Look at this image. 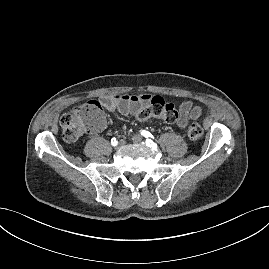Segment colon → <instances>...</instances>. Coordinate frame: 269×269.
I'll list each match as a JSON object with an SVG mask.
<instances>
[{
	"mask_svg": "<svg viewBox=\"0 0 269 269\" xmlns=\"http://www.w3.org/2000/svg\"><path fill=\"white\" fill-rule=\"evenodd\" d=\"M177 116L178 112L174 105L160 96L151 97L137 113V118L141 121L158 117L173 123ZM103 122L102 105L96 100L87 101L64 113L60 118L63 138L68 142L77 141L86 132L99 130ZM187 134L192 141H197L202 137L203 129L200 124L191 121Z\"/></svg>",
	"mask_w": 269,
	"mask_h": 269,
	"instance_id": "colon-1",
	"label": "colon"
}]
</instances>
